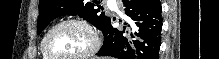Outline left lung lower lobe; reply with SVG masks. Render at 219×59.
Segmentation results:
<instances>
[{
  "label": "left lung lower lobe",
  "instance_id": "obj_1",
  "mask_svg": "<svg viewBox=\"0 0 219 59\" xmlns=\"http://www.w3.org/2000/svg\"><path fill=\"white\" fill-rule=\"evenodd\" d=\"M128 16L123 30L102 28L104 43L96 55L117 59H158L161 45V4L159 0H122ZM121 21V20H120Z\"/></svg>",
  "mask_w": 219,
  "mask_h": 59
}]
</instances>
